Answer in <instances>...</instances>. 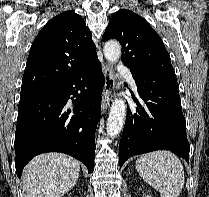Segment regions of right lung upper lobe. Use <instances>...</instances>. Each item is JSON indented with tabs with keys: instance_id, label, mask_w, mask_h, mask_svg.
<instances>
[{
	"instance_id": "right-lung-upper-lobe-1",
	"label": "right lung upper lobe",
	"mask_w": 209,
	"mask_h": 197,
	"mask_svg": "<svg viewBox=\"0 0 209 197\" xmlns=\"http://www.w3.org/2000/svg\"><path fill=\"white\" fill-rule=\"evenodd\" d=\"M96 46L82 17L65 11L38 33L27 59L21 91L55 86L97 60Z\"/></svg>"
}]
</instances>
